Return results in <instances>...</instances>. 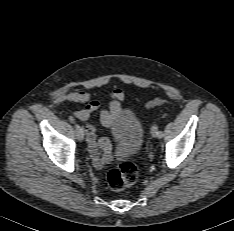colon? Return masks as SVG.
I'll list each match as a JSON object with an SVG mask.
<instances>
[{
    "instance_id": "5ec220e1",
    "label": "colon",
    "mask_w": 234,
    "mask_h": 231,
    "mask_svg": "<svg viewBox=\"0 0 234 231\" xmlns=\"http://www.w3.org/2000/svg\"><path fill=\"white\" fill-rule=\"evenodd\" d=\"M157 101H152L151 106L157 105ZM138 177V170L135 163L131 160H126L117 167L109 171L107 179L109 186L116 191L126 189L132 186Z\"/></svg>"
}]
</instances>
